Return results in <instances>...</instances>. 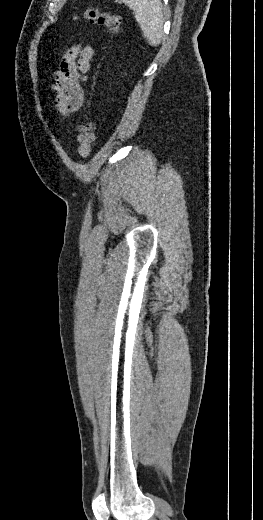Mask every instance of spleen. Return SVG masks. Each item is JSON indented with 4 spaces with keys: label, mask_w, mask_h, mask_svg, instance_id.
I'll list each match as a JSON object with an SVG mask.
<instances>
[{
    "label": "spleen",
    "mask_w": 263,
    "mask_h": 520,
    "mask_svg": "<svg viewBox=\"0 0 263 520\" xmlns=\"http://www.w3.org/2000/svg\"><path fill=\"white\" fill-rule=\"evenodd\" d=\"M134 12L147 43L158 46L163 37V6L160 0H121Z\"/></svg>",
    "instance_id": "3e777b00"
}]
</instances>
